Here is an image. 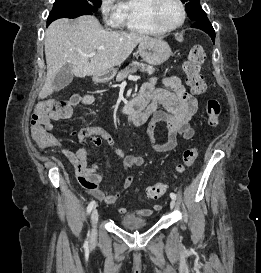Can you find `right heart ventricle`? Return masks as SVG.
I'll use <instances>...</instances> for the list:
<instances>
[{
    "instance_id": "1",
    "label": "right heart ventricle",
    "mask_w": 261,
    "mask_h": 273,
    "mask_svg": "<svg viewBox=\"0 0 261 273\" xmlns=\"http://www.w3.org/2000/svg\"><path fill=\"white\" fill-rule=\"evenodd\" d=\"M153 0H118L117 25L133 33L160 35L163 33L150 20Z\"/></svg>"
}]
</instances>
